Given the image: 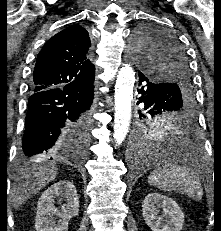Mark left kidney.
Wrapping results in <instances>:
<instances>
[{"label":"left kidney","mask_w":221,"mask_h":231,"mask_svg":"<svg viewBox=\"0 0 221 231\" xmlns=\"http://www.w3.org/2000/svg\"><path fill=\"white\" fill-rule=\"evenodd\" d=\"M142 214L152 231H181L185 221L184 213L178 204L172 198L159 193L145 196Z\"/></svg>","instance_id":"obj_1"}]
</instances>
